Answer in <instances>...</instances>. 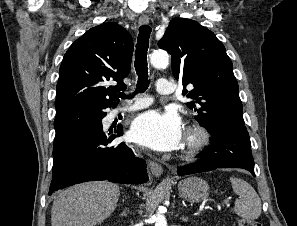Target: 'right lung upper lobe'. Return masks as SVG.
I'll return each instance as SVG.
<instances>
[{
    "mask_svg": "<svg viewBox=\"0 0 297 226\" xmlns=\"http://www.w3.org/2000/svg\"><path fill=\"white\" fill-rule=\"evenodd\" d=\"M133 40L117 23H105L88 30L67 50L56 88V111L81 105L113 106L117 92L131 67ZM117 81L108 86L107 81Z\"/></svg>",
    "mask_w": 297,
    "mask_h": 226,
    "instance_id": "right-lung-upper-lobe-1",
    "label": "right lung upper lobe"
}]
</instances>
